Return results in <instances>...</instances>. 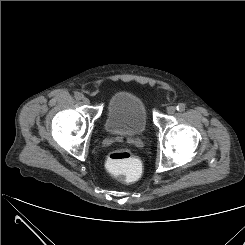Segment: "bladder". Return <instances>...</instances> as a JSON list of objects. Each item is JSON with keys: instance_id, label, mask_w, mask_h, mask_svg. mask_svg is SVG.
<instances>
[{"instance_id": "1", "label": "bladder", "mask_w": 245, "mask_h": 245, "mask_svg": "<svg viewBox=\"0 0 245 245\" xmlns=\"http://www.w3.org/2000/svg\"><path fill=\"white\" fill-rule=\"evenodd\" d=\"M148 125L143 98L132 91L115 93L107 102L105 130L113 135H140Z\"/></svg>"}]
</instances>
